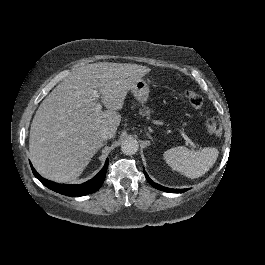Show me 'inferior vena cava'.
<instances>
[{
  "instance_id": "602c4592",
  "label": "inferior vena cava",
  "mask_w": 265,
  "mask_h": 265,
  "mask_svg": "<svg viewBox=\"0 0 265 265\" xmlns=\"http://www.w3.org/2000/svg\"><path fill=\"white\" fill-rule=\"evenodd\" d=\"M114 136V133L111 131V130H103L101 131V134H100V137L103 139V140H107V139H110Z\"/></svg>"
}]
</instances>
